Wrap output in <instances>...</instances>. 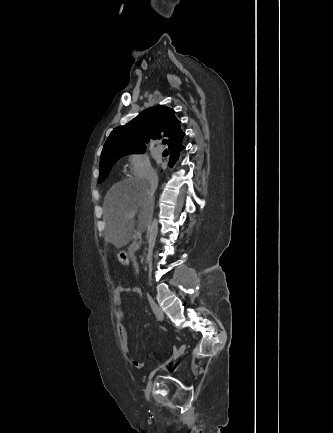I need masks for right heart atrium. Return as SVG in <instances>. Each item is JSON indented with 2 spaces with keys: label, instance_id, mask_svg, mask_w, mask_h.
<instances>
[{
  "label": "right heart atrium",
  "instance_id": "right-heart-atrium-1",
  "mask_svg": "<svg viewBox=\"0 0 333 433\" xmlns=\"http://www.w3.org/2000/svg\"><path fill=\"white\" fill-rule=\"evenodd\" d=\"M127 171L130 176L137 178H149L153 175V169L149 157L142 152H132L127 155Z\"/></svg>",
  "mask_w": 333,
  "mask_h": 433
}]
</instances>
